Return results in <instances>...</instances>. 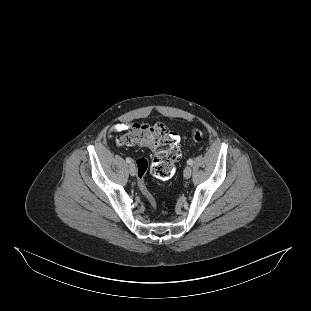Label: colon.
Listing matches in <instances>:
<instances>
[{
  "mask_svg": "<svg viewBox=\"0 0 311 311\" xmlns=\"http://www.w3.org/2000/svg\"><path fill=\"white\" fill-rule=\"evenodd\" d=\"M190 134L191 138L196 142H201L204 139V132L200 128H193ZM117 142L120 146L148 147L153 151L155 156L150 169L158 179L168 180L174 175V163L180 159L181 152L176 134L164 124H134L128 132L118 138ZM136 165L139 188L151 206L156 208V201L147 189L144 180L149 168V162L146 158L141 157L137 159Z\"/></svg>",
  "mask_w": 311,
  "mask_h": 311,
  "instance_id": "obj_1",
  "label": "colon"
}]
</instances>
